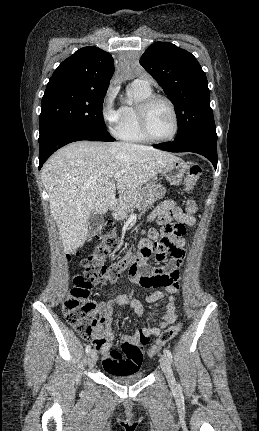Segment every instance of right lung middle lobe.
<instances>
[{"instance_id": "dd1d6c3e", "label": "right lung middle lobe", "mask_w": 259, "mask_h": 431, "mask_svg": "<svg viewBox=\"0 0 259 431\" xmlns=\"http://www.w3.org/2000/svg\"><path fill=\"white\" fill-rule=\"evenodd\" d=\"M106 92L58 88L45 91L39 119L40 136L62 125L81 126L103 134L102 105Z\"/></svg>"}]
</instances>
